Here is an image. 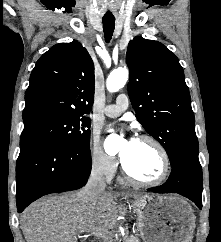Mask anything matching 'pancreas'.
I'll list each match as a JSON object with an SVG mask.
<instances>
[{
    "instance_id": "cf45deb5",
    "label": "pancreas",
    "mask_w": 221,
    "mask_h": 242,
    "mask_svg": "<svg viewBox=\"0 0 221 242\" xmlns=\"http://www.w3.org/2000/svg\"><path fill=\"white\" fill-rule=\"evenodd\" d=\"M123 242H139L137 237L131 236V237H126Z\"/></svg>"
}]
</instances>
